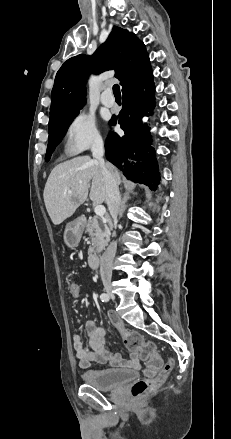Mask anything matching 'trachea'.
Returning a JSON list of instances; mask_svg holds the SVG:
<instances>
[{"label":"trachea","mask_w":231,"mask_h":439,"mask_svg":"<svg viewBox=\"0 0 231 439\" xmlns=\"http://www.w3.org/2000/svg\"><path fill=\"white\" fill-rule=\"evenodd\" d=\"M113 94H114L115 97H121L119 85L115 84L113 86Z\"/></svg>","instance_id":"1"}]
</instances>
